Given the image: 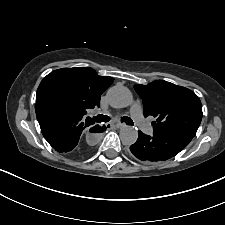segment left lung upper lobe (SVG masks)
I'll return each mask as SVG.
<instances>
[{"label":"left lung upper lobe","instance_id":"5c2ea615","mask_svg":"<svg viewBox=\"0 0 225 225\" xmlns=\"http://www.w3.org/2000/svg\"><path fill=\"white\" fill-rule=\"evenodd\" d=\"M134 88L143 100L144 116L156 118L153 134L195 136L203 114L201 101L193 91L164 80L136 84Z\"/></svg>","mask_w":225,"mask_h":225}]
</instances>
